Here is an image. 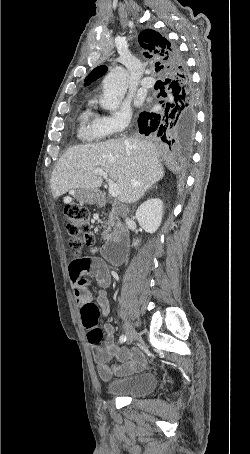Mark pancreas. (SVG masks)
<instances>
[{
	"mask_svg": "<svg viewBox=\"0 0 250 454\" xmlns=\"http://www.w3.org/2000/svg\"><path fill=\"white\" fill-rule=\"evenodd\" d=\"M106 223V230L102 234V238L104 240H109L112 237L111 231L116 223V217H114L112 214H109L108 220L105 221Z\"/></svg>",
	"mask_w": 250,
	"mask_h": 454,
	"instance_id": "pancreas-1",
	"label": "pancreas"
}]
</instances>
